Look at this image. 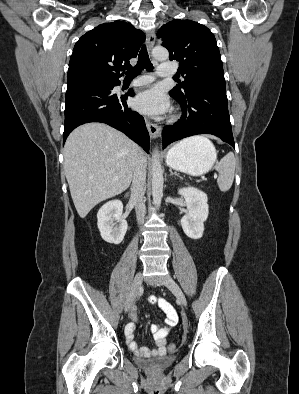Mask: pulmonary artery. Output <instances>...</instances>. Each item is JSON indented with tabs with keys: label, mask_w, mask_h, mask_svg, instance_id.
Listing matches in <instances>:
<instances>
[{
	"label": "pulmonary artery",
	"mask_w": 299,
	"mask_h": 394,
	"mask_svg": "<svg viewBox=\"0 0 299 394\" xmlns=\"http://www.w3.org/2000/svg\"><path fill=\"white\" fill-rule=\"evenodd\" d=\"M174 69L173 66L171 64H166V63H162L159 65L158 70L156 72V76L158 77H169L172 74H174ZM153 75H145L139 78H136L135 80H133L132 85L134 86H141V85H147L148 83H150L153 80Z\"/></svg>",
	"instance_id": "e3ab8cb5"
}]
</instances>
